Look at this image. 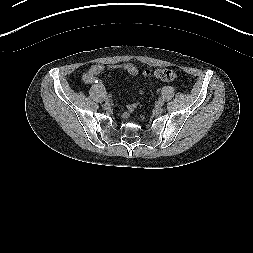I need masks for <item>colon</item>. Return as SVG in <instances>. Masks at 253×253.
Listing matches in <instances>:
<instances>
[{
    "mask_svg": "<svg viewBox=\"0 0 253 253\" xmlns=\"http://www.w3.org/2000/svg\"><path fill=\"white\" fill-rule=\"evenodd\" d=\"M145 75H154L162 80L165 81H174L177 79V75L175 74L174 71L169 70V69H159V70H155L152 71L150 69L145 70ZM134 105H129L128 106V110L131 112L134 109Z\"/></svg>",
    "mask_w": 253,
    "mask_h": 253,
    "instance_id": "colon-1",
    "label": "colon"
}]
</instances>
